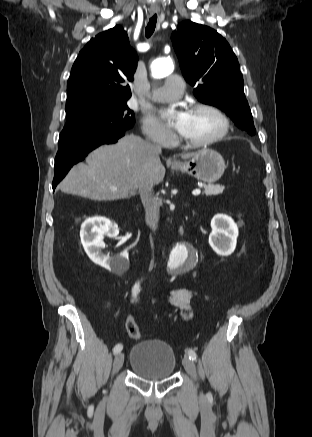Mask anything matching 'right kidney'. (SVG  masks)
<instances>
[{
  "label": "right kidney",
  "instance_id": "obj_1",
  "mask_svg": "<svg viewBox=\"0 0 312 437\" xmlns=\"http://www.w3.org/2000/svg\"><path fill=\"white\" fill-rule=\"evenodd\" d=\"M119 234L118 226L104 217L89 218L83 222L80 230L81 243L92 262L112 272L127 270L129 268L128 252L119 256L104 255L101 250L105 247L103 237Z\"/></svg>",
  "mask_w": 312,
  "mask_h": 437
}]
</instances>
